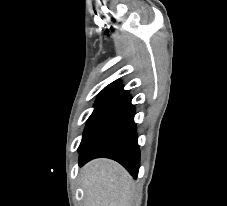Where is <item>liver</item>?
<instances>
[{
  "label": "liver",
  "instance_id": "1",
  "mask_svg": "<svg viewBox=\"0 0 227 206\" xmlns=\"http://www.w3.org/2000/svg\"><path fill=\"white\" fill-rule=\"evenodd\" d=\"M86 206H130L133 181L129 173L110 159H96L82 169Z\"/></svg>",
  "mask_w": 227,
  "mask_h": 206
}]
</instances>
